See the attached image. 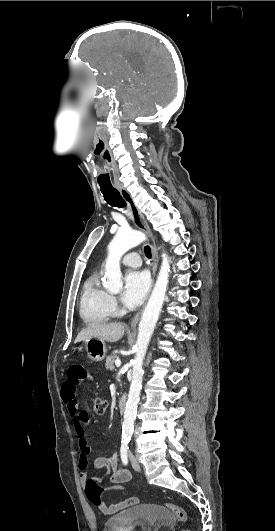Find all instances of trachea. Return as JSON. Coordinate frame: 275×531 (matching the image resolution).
<instances>
[{
  "mask_svg": "<svg viewBox=\"0 0 275 531\" xmlns=\"http://www.w3.org/2000/svg\"><path fill=\"white\" fill-rule=\"evenodd\" d=\"M102 191V194L104 196V199L107 201L108 204L111 206H116L118 208H125L126 202L120 195L118 189L114 188L113 186H105L100 188ZM144 253L147 258H151V248L149 246L144 247Z\"/></svg>",
  "mask_w": 275,
  "mask_h": 531,
  "instance_id": "1",
  "label": "trachea"
}]
</instances>
